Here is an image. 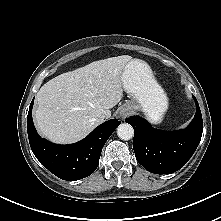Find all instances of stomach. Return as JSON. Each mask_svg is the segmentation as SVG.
<instances>
[{
  "label": "stomach",
  "instance_id": "obj_1",
  "mask_svg": "<svg viewBox=\"0 0 221 221\" xmlns=\"http://www.w3.org/2000/svg\"><path fill=\"white\" fill-rule=\"evenodd\" d=\"M122 84L131 97L125 105L133 111H143L152 123L162 120L168 108V98L145 62L138 59L129 61L123 70Z\"/></svg>",
  "mask_w": 221,
  "mask_h": 221
}]
</instances>
